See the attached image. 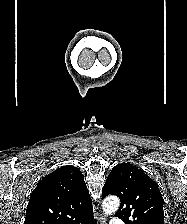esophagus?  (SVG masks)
<instances>
[{
  "instance_id": "esophagus-1",
  "label": "esophagus",
  "mask_w": 187,
  "mask_h": 224,
  "mask_svg": "<svg viewBox=\"0 0 187 224\" xmlns=\"http://www.w3.org/2000/svg\"><path fill=\"white\" fill-rule=\"evenodd\" d=\"M99 224H107V218L105 215H102L100 218H99Z\"/></svg>"
}]
</instances>
